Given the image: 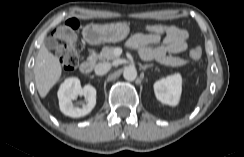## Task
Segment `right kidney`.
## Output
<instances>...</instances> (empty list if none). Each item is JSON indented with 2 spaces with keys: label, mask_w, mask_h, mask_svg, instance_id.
I'll return each mask as SVG.
<instances>
[{
  "label": "right kidney",
  "mask_w": 244,
  "mask_h": 157,
  "mask_svg": "<svg viewBox=\"0 0 244 157\" xmlns=\"http://www.w3.org/2000/svg\"><path fill=\"white\" fill-rule=\"evenodd\" d=\"M78 95L85 97L86 103L82 107L74 106L73 100ZM61 112L69 117L77 118L89 114L96 105V89L91 85L81 87L80 80L75 77L67 78L58 91Z\"/></svg>",
  "instance_id": "right-kidney-1"
}]
</instances>
